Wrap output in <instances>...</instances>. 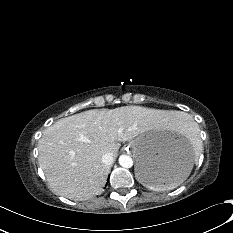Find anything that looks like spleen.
<instances>
[{
	"label": "spleen",
	"instance_id": "3e777b00",
	"mask_svg": "<svg viewBox=\"0 0 233 233\" xmlns=\"http://www.w3.org/2000/svg\"><path fill=\"white\" fill-rule=\"evenodd\" d=\"M173 128L181 133L184 134L186 137H190V140L192 139L193 144H198L199 143V139L197 137L199 128L197 126V124L192 121V119L189 116H185L184 118H181L177 123L174 124ZM195 154L197 155V151L195 150ZM190 174V173H189ZM189 176V175H188ZM187 176V177H188ZM187 177H185L184 179L180 180L179 182H176L175 184H173L170 187H155L152 188L153 190H167V189H173L175 187H177L178 185H180L181 183H183Z\"/></svg>",
	"mask_w": 233,
	"mask_h": 233
}]
</instances>
